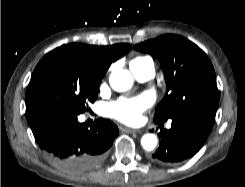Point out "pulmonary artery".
<instances>
[{
    "label": "pulmonary artery",
    "instance_id": "e3ab8cb5",
    "mask_svg": "<svg viewBox=\"0 0 245 187\" xmlns=\"http://www.w3.org/2000/svg\"><path fill=\"white\" fill-rule=\"evenodd\" d=\"M131 72L138 81H147L155 74L154 64L151 59L143 62L140 65L130 66Z\"/></svg>",
    "mask_w": 245,
    "mask_h": 187
}]
</instances>
